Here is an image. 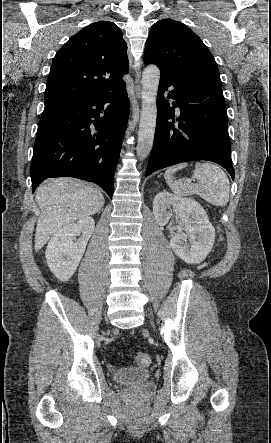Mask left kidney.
I'll use <instances>...</instances> for the list:
<instances>
[{
  "label": "left kidney",
  "mask_w": 271,
  "mask_h": 443,
  "mask_svg": "<svg viewBox=\"0 0 271 443\" xmlns=\"http://www.w3.org/2000/svg\"><path fill=\"white\" fill-rule=\"evenodd\" d=\"M169 210V212H167ZM153 214L158 225H166L171 216L185 223L187 233H175L170 245L178 257L186 263H201L211 251L215 229L202 206L191 198H177L168 192H160L153 200ZM189 237L190 243H187Z\"/></svg>",
  "instance_id": "1"
}]
</instances>
